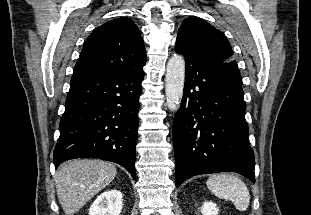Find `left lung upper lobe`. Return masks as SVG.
<instances>
[{
  "label": "left lung upper lobe",
  "mask_w": 311,
  "mask_h": 215,
  "mask_svg": "<svg viewBox=\"0 0 311 215\" xmlns=\"http://www.w3.org/2000/svg\"><path fill=\"white\" fill-rule=\"evenodd\" d=\"M176 45L210 63L231 80L242 85L237 62L226 36L195 16L186 18L178 30Z\"/></svg>",
  "instance_id": "obj_1"
}]
</instances>
